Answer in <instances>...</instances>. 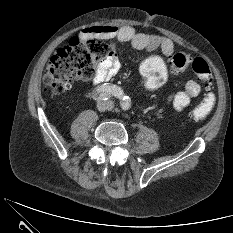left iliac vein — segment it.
<instances>
[{
  "label": "left iliac vein",
  "mask_w": 233,
  "mask_h": 233,
  "mask_svg": "<svg viewBox=\"0 0 233 233\" xmlns=\"http://www.w3.org/2000/svg\"><path fill=\"white\" fill-rule=\"evenodd\" d=\"M109 109H112L113 108V105L111 103H109Z\"/></svg>",
  "instance_id": "obj_1"
}]
</instances>
